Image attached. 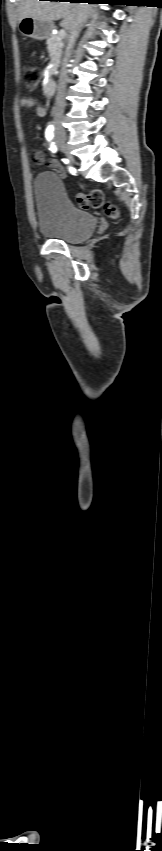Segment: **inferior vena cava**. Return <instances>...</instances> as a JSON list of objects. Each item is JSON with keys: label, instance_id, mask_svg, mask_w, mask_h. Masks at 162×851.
I'll list each match as a JSON object with an SVG mask.
<instances>
[{"label": "inferior vena cava", "instance_id": "inferior-vena-cava-1", "mask_svg": "<svg viewBox=\"0 0 162 851\" xmlns=\"http://www.w3.org/2000/svg\"><path fill=\"white\" fill-rule=\"evenodd\" d=\"M87 18H88V16H87L86 11L83 10L79 13L77 24L70 31L69 45H70L71 48L74 46L76 39L78 38L79 33L81 31V28H82L83 24L85 23V21L87 20ZM66 83H67V69L64 68V71H63V73H62V75L59 79L56 101H55V107H54L55 131L57 133H63V134L65 133L64 129L62 128V118H63V114H64V109H65Z\"/></svg>", "mask_w": 162, "mask_h": 851}]
</instances>
